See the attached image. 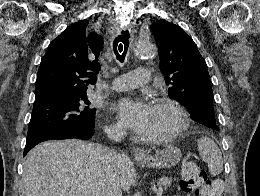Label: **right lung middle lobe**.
Wrapping results in <instances>:
<instances>
[{"instance_id":"dd1d6c3e","label":"right lung middle lobe","mask_w":260,"mask_h":196,"mask_svg":"<svg viewBox=\"0 0 260 196\" xmlns=\"http://www.w3.org/2000/svg\"><path fill=\"white\" fill-rule=\"evenodd\" d=\"M86 93L61 95L33 106L26 146L95 124Z\"/></svg>"}]
</instances>
